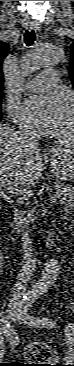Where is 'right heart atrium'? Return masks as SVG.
Masks as SVG:
<instances>
[{
  "label": "right heart atrium",
  "instance_id": "1",
  "mask_svg": "<svg viewBox=\"0 0 74 366\" xmlns=\"http://www.w3.org/2000/svg\"><path fill=\"white\" fill-rule=\"evenodd\" d=\"M18 104L13 101H9L7 105V113L20 129H29V125L25 122L23 116L18 114Z\"/></svg>",
  "mask_w": 74,
  "mask_h": 366
}]
</instances>
